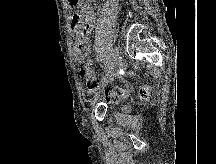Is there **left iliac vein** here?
Returning <instances> with one entry per match:
<instances>
[{"label":"left iliac vein","instance_id":"1","mask_svg":"<svg viewBox=\"0 0 216 164\" xmlns=\"http://www.w3.org/2000/svg\"><path fill=\"white\" fill-rule=\"evenodd\" d=\"M113 58H112V70H107V73L105 74V76L103 77L102 79V82H101V87H105L106 84L114 78V76L116 75V72L118 71V69H121L123 68V63L121 60H119L120 58V54H119V47L118 46H115L114 47V50H113V54H112ZM99 97V93L97 92L94 97H93V100H92V103H91V106L92 108L94 107L95 105V102L97 101Z\"/></svg>","mask_w":216,"mask_h":164}]
</instances>
